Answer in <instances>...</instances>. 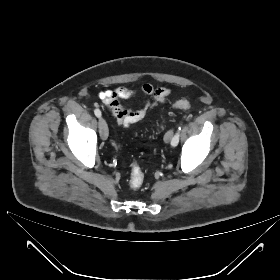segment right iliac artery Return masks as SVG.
<instances>
[{
    "instance_id": "right-iliac-artery-1",
    "label": "right iliac artery",
    "mask_w": 280,
    "mask_h": 280,
    "mask_svg": "<svg viewBox=\"0 0 280 280\" xmlns=\"http://www.w3.org/2000/svg\"><path fill=\"white\" fill-rule=\"evenodd\" d=\"M94 114L96 115V117L100 118L101 117V111L99 109H95L94 110Z\"/></svg>"
}]
</instances>
